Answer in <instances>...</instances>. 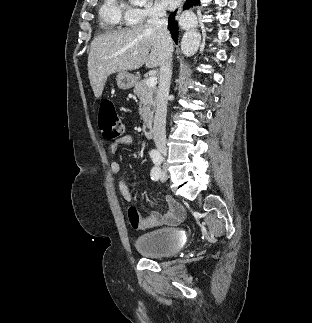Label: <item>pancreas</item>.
<instances>
[{"label":"pancreas","mask_w":312,"mask_h":323,"mask_svg":"<svg viewBox=\"0 0 312 323\" xmlns=\"http://www.w3.org/2000/svg\"><path fill=\"white\" fill-rule=\"evenodd\" d=\"M147 80H141L135 84L134 94L138 96L139 116L143 122L152 120L156 106V88H149L146 84Z\"/></svg>","instance_id":"pancreas-1"}]
</instances>
